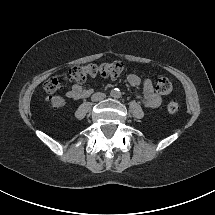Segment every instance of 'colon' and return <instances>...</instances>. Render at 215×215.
<instances>
[{
	"label": "colon",
	"mask_w": 215,
	"mask_h": 215,
	"mask_svg": "<svg viewBox=\"0 0 215 215\" xmlns=\"http://www.w3.org/2000/svg\"><path fill=\"white\" fill-rule=\"evenodd\" d=\"M126 69V66L122 62H108L102 64H88L85 66H75L70 69L65 76L67 80L83 82L88 76H104V77H118ZM60 83L57 78H50L44 84V89L47 92L46 104L48 108L58 109L64 105L63 98L57 94ZM156 89L161 94H169L173 91V85L171 81L162 77L157 81ZM166 108L170 113H176L180 105L177 100L170 99L167 102Z\"/></svg>",
	"instance_id": "colon-1"
}]
</instances>
